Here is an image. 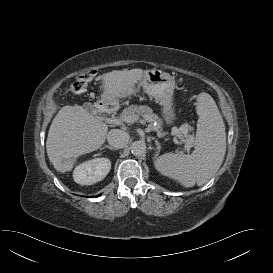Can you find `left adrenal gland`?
<instances>
[{
  "label": "left adrenal gland",
  "instance_id": "a2214340",
  "mask_svg": "<svg viewBox=\"0 0 273 273\" xmlns=\"http://www.w3.org/2000/svg\"><path fill=\"white\" fill-rule=\"evenodd\" d=\"M155 144L157 146V152L155 154V157L159 155V152H160V149H161V145L160 143L158 142V140H155Z\"/></svg>",
  "mask_w": 273,
  "mask_h": 273
}]
</instances>
